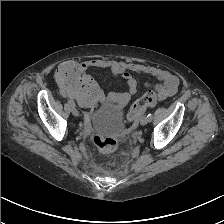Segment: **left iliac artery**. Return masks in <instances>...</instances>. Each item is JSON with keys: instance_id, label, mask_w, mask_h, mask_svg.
I'll return each instance as SVG.
<instances>
[{"instance_id": "obj_1", "label": "left iliac artery", "mask_w": 224, "mask_h": 224, "mask_svg": "<svg viewBox=\"0 0 224 224\" xmlns=\"http://www.w3.org/2000/svg\"><path fill=\"white\" fill-rule=\"evenodd\" d=\"M147 117L149 118V122L152 121L153 117H152V114H151V113H149V114L147 115Z\"/></svg>"}]
</instances>
